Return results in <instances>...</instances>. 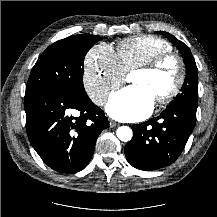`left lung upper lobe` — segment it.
I'll use <instances>...</instances> for the list:
<instances>
[{
    "instance_id": "1",
    "label": "left lung upper lobe",
    "mask_w": 217,
    "mask_h": 217,
    "mask_svg": "<svg viewBox=\"0 0 217 217\" xmlns=\"http://www.w3.org/2000/svg\"><path fill=\"white\" fill-rule=\"evenodd\" d=\"M157 33L166 36L178 48L186 67V78L181 93H179L176 96V99L169 104V107L179 104L197 106L198 71L190 49L183 42L167 32L158 31Z\"/></svg>"
}]
</instances>
